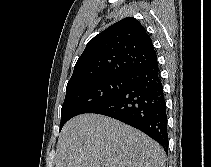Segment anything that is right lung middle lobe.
<instances>
[{
	"label": "right lung middle lobe",
	"instance_id": "1",
	"mask_svg": "<svg viewBox=\"0 0 211 167\" xmlns=\"http://www.w3.org/2000/svg\"><path fill=\"white\" fill-rule=\"evenodd\" d=\"M127 86L126 76H108L66 89L61 110L60 130L72 117L83 113H93L108 104Z\"/></svg>",
	"mask_w": 211,
	"mask_h": 167
}]
</instances>
